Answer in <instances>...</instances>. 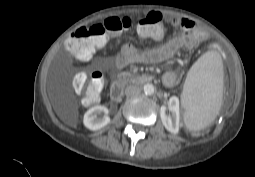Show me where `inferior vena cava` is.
Segmentation results:
<instances>
[{"instance_id": "1", "label": "inferior vena cava", "mask_w": 255, "mask_h": 177, "mask_svg": "<svg viewBox=\"0 0 255 177\" xmlns=\"http://www.w3.org/2000/svg\"><path fill=\"white\" fill-rule=\"evenodd\" d=\"M140 93V88L137 86H128L125 89V94L126 96H134V95H138Z\"/></svg>"}]
</instances>
